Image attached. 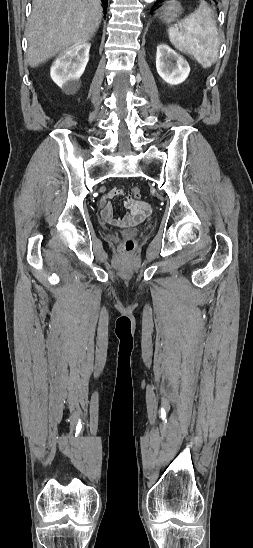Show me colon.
I'll return each instance as SVG.
<instances>
[{
	"instance_id": "1",
	"label": "colon",
	"mask_w": 253,
	"mask_h": 548,
	"mask_svg": "<svg viewBox=\"0 0 253 548\" xmlns=\"http://www.w3.org/2000/svg\"><path fill=\"white\" fill-rule=\"evenodd\" d=\"M131 193L135 199L141 198V195H142L141 190L138 187H134ZM134 247H135V242L130 238L124 240L121 245L122 250L126 253H131L134 250Z\"/></svg>"
}]
</instances>
